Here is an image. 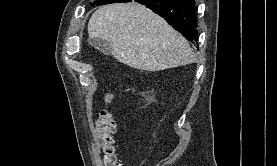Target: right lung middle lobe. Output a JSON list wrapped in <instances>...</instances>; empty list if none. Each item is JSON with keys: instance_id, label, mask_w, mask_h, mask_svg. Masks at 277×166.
Listing matches in <instances>:
<instances>
[{"instance_id": "1", "label": "right lung middle lobe", "mask_w": 277, "mask_h": 166, "mask_svg": "<svg viewBox=\"0 0 277 166\" xmlns=\"http://www.w3.org/2000/svg\"><path fill=\"white\" fill-rule=\"evenodd\" d=\"M113 0H96L94 3L91 4L92 7L95 5H105V4H110Z\"/></svg>"}]
</instances>
